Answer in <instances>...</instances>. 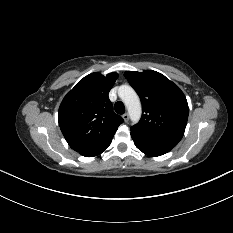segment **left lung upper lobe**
<instances>
[{"instance_id":"left-lung-upper-lobe-1","label":"left lung upper lobe","mask_w":233,"mask_h":233,"mask_svg":"<svg viewBox=\"0 0 233 233\" xmlns=\"http://www.w3.org/2000/svg\"><path fill=\"white\" fill-rule=\"evenodd\" d=\"M124 75L139 94L143 107L140 122L130 129L138 134L179 142L189 114L186 97L180 88L152 70L127 71Z\"/></svg>"}]
</instances>
